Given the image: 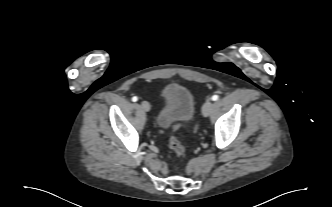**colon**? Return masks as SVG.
<instances>
[{"instance_id": "colon-1", "label": "colon", "mask_w": 332, "mask_h": 207, "mask_svg": "<svg viewBox=\"0 0 332 207\" xmlns=\"http://www.w3.org/2000/svg\"><path fill=\"white\" fill-rule=\"evenodd\" d=\"M183 125L175 124L173 127V132L169 138V148L174 152L178 157L182 156L185 152V147L178 138V132L181 130Z\"/></svg>"}]
</instances>
